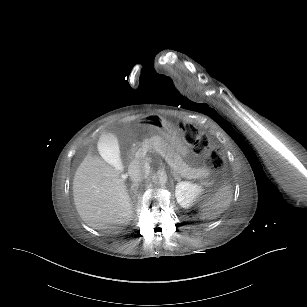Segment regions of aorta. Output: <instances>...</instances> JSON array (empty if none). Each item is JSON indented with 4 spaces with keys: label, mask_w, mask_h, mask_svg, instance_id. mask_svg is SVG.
I'll return each mask as SVG.
<instances>
[{
    "label": "aorta",
    "mask_w": 307,
    "mask_h": 307,
    "mask_svg": "<svg viewBox=\"0 0 307 307\" xmlns=\"http://www.w3.org/2000/svg\"><path fill=\"white\" fill-rule=\"evenodd\" d=\"M152 181L158 186H164L168 181L167 174L164 171L157 172V174L153 176Z\"/></svg>",
    "instance_id": "1"
}]
</instances>
